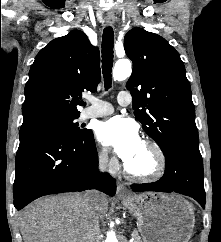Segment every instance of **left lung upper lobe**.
<instances>
[{
    "label": "left lung upper lobe",
    "instance_id": "obj_1",
    "mask_svg": "<svg viewBox=\"0 0 221 242\" xmlns=\"http://www.w3.org/2000/svg\"><path fill=\"white\" fill-rule=\"evenodd\" d=\"M124 49L133 62L126 87L145 132L163 153L176 143L199 144L191 88L179 53L161 36L138 27L126 34Z\"/></svg>",
    "mask_w": 221,
    "mask_h": 242
}]
</instances>
